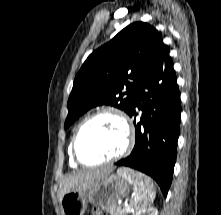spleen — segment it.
I'll list each match as a JSON object with an SVG mask.
<instances>
[{
  "instance_id": "obj_1",
  "label": "spleen",
  "mask_w": 221,
  "mask_h": 215,
  "mask_svg": "<svg viewBox=\"0 0 221 215\" xmlns=\"http://www.w3.org/2000/svg\"><path fill=\"white\" fill-rule=\"evenodd\" d=\"M128 179L134 185V192L130 200V207L140 211L151 206L155 199V188L152 180L147 176L142 182L138 180L132 181L129 176Z\"/></svg>"
}]
</instances>
